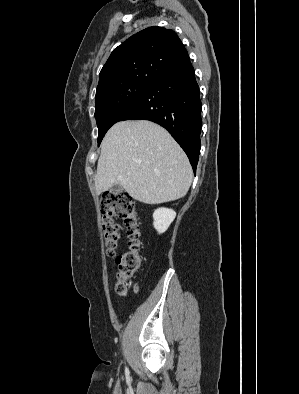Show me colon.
Wrapping results in <instances>:
<instances>
[{
	"label": "colon",
	"instance_id": "1",
	"mask_svg": "<svg viewBox=\"0 0 299 394\" xmlns=\"http://www.w3.org/2000/svg\"><path fill=\"white\" fill-rule=\"evenodd\" d=\"M102 214V233L105 251L109 257L117 254L119 246V227L113 220L114 216L121 218L127 228L129 247L126 252L117 257L116 290L121 296L128 293L127 281L139 271L142 263L140 229L137 223L135 204L132 197L122 191H109L100 198Z\"/></svg>",
	"mask_w": 299,
	"mask_h": 394
}]
</instances>
